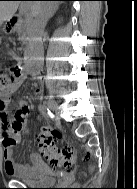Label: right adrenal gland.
I'll return each instance as SVG.
<instances>
[{
	"mask_svg": "<svg viewBox=\"0 0 137 189\" xmlns=\"http://www.w3.org/2000/svg\"><path fill=\"white\" fill-rule=\"evenodd\" d=\"M58 8H59V4H56V6H55V8L53 9L51 15L49 16V19L54 16V13L58 10Z\"/></svg>",
	"mask_w": 137,
	"mask_h": 189,
	"instance_id": "obj_1",
	"label": "right adrenal gland"
}]
</instances>
